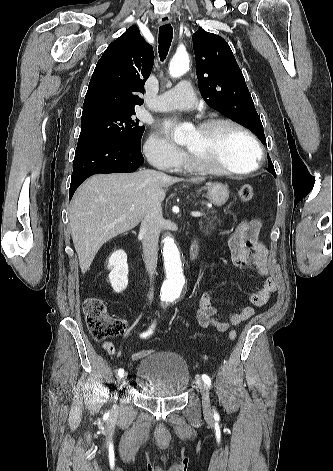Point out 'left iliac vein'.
<instances>
[{
    "label": "left iliac vein",
    "instance_id": "left-iliac-vein-1",
    "mask_svg": "<svg viewBox=\"0 0 333 471\" xmlns=\"http://www.w3.org/2000/svg\"><path fill=\"white\" fill-rule=\"evenodd\" d=\"M196 383H197L198 388L201 392L203 411H204L205 415L210 416L212 411H211L210 394H209L208 386L199 377L196 378Z\"/></svg>",
    "mask_w": 333,
    "mask_h": 471
}]
</instances>
